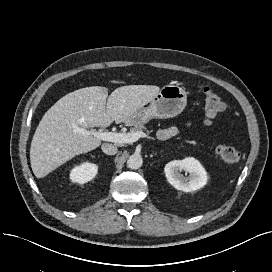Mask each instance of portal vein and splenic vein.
<instances>
[{
	"label": "portal vein and splenic vein",
	"instance_id": "obj_1",
	"mask_svg": "<svg viewBox=\"0 0 272 272\" xmlns=\"http://www.w3.org/2000/svg\"><path fill=\"white\" fill-rule=\"evenodd\" d=\"M75 132L82 135L94 136L103 141H110L115 143H133L141 137H146L144 132H129V133H117V132H102L94 130H86L84 128L75 127Z\"/></svg>",
	"mask_w": 272,
	"mask_h": 272
}]
</instances>
